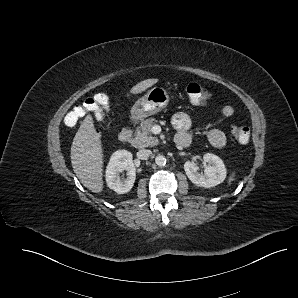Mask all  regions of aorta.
<instances>
[{
  "mask_svg": "<svg viewBox=\"0 0 298 298\" xmlns=\"http://www.w3.org/2000/svg\"><path fill=\"white\" fill-rule=\"evenodd\" d=\"M155 163L158 165V166H163L165 163H166V158L163 154H158L156 157H155Z\"/></svg>",
  "mask_w": 298,
  "mask_h": 298,
  "instance_id": "aorta-1",
  "label": "aorta"
}]
</instances>
